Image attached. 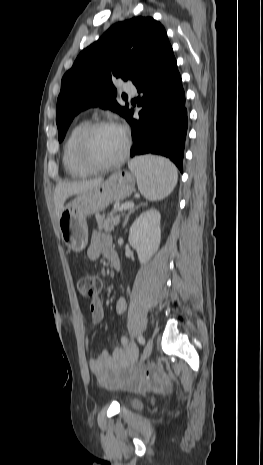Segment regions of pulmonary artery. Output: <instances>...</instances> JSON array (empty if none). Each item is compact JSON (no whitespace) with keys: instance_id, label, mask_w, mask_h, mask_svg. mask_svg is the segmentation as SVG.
<instances>
[{"instance_id":"e3ab8cb5","label":"pulmonary artery","mask_w":263,"mask_h":465,"mask_svg":"<svg viewBox=\"0 0 263 465\" xmlns=\"http://www.w3.org/2000/svg\"><path fill=\"white\" fill-rule=\"evenodd\" d=\"M124 91L129 93V94H132V95H135L136 94V88L132 85H126L124 86Z\"/></svg>"}]
</instances>
